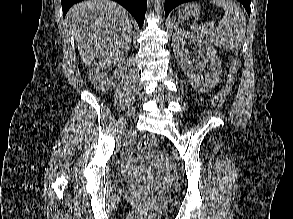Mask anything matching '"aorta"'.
I'll return each instance as SVG.
<instances>
[{
    "instance_id": "1",
    "label": "aorta",
    "mask_w": 293,
    "mask_h": 219,
    "mask_svg": "<svg viewBox=\"0 0 293 219\" xmlns=\"http://www.w3.org/2000/svg\"><path fill=\"white\" fill-rule=\"evenodd\" d=\"M154 9L157 13L161 11L160 0H154Z\"/></svg>"
}]
</instances>
